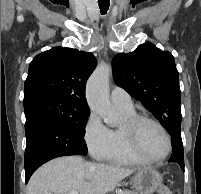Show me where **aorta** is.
I'll return each instance as SVG.
<instances>
[{"mask_svg":"<svg viewBox=\"0 0 201 194\" xmlns=\"http://www.w3.org/2000/svg\"><path fill=\"white\" fill-rule=\"evenodd\" d=\"M111 66L100 63L87 82L86 97L90 109L100 115L104 122L116 123L118 114L111 106L108 95Z\"/></svg>","mask_w":201,"mask_h":194,"instance_id":"obj_1","label":"aorta"}]
</instances>
